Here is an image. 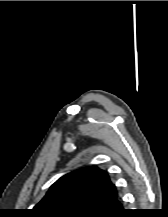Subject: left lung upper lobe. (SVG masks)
I'll return each instance as SVG.
<instances>
[{"label":"left lung upper lobe","instance_id":"5c2ea615","mask_svg":"<svg viewBox=\"0 0 168 217\" xmlns=\"http://www.w3.org/2000/svg\"><path fill=\"white\" fill-rule=\"evenodd\" d=\"M117 198L107 172L84 167L57 180L32 212L37 217H100Z\"/></svg>","mask_w":168,"mask_h":217}]
</instances>
